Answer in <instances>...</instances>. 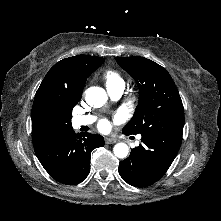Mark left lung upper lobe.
Here are the masks:
<instances>
[{"label": "left lung upper lobe", "instance_id": "left-lung-upper-lobe-1", "mask_svg": "<svg viewBox=\"0 0 221 221\" xmlns=\"http://www.w3.org/2000/svg\"><path fill=\"white\" fill-rule=\"evenodd\" d=\"M115 59L139 86V104L123 132L181 143L184 108L167 70L140 56Z\"/></svg>", "mask_w": 221, "mask_h": 221}]
</instances>
